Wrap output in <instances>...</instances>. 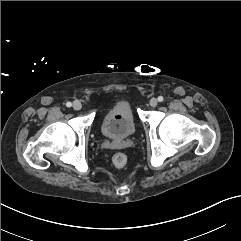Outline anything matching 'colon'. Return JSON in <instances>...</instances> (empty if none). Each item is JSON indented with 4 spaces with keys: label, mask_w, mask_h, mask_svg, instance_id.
Returning a JSON list of instances; mask_svg holds the SVG:
<instances>
[{
    "label": "colon",
    "mask_w": 241,
    "mask_h": 241,
    "mask_svg": "<svg viewBox=\"0 0 241 241\" xmlns=\"http://www.w3.org/2000/svg\"><path fill=\"white\" fill-rule=\"evenodd\" d=\"M127 161V156L124 153L119 152L113 156V164L118 168L124 167Z\"/></svg>",
    "instance_id": "obj_1"
}]
</instances>
